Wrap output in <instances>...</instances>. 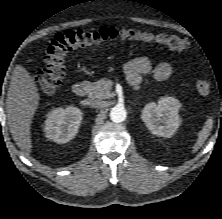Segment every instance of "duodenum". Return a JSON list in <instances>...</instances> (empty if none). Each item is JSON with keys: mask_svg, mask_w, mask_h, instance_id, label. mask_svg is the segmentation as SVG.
I'll use <instances>...</instances> for the list:
<instances>
[{"mask_svg": "<svg viewBox=\"0 0 222 219\" xmlns=\"http://www.w3.org/2000/svg\"><path fill=\"white\" fill-rule=\"evenodd\" d=\"M88 86L85 83L78 82L73 86V92L76 96L83 97L88 94Z\"/></svg>", "mask_w": 222, "mask_h": 219, "instance_id": "410a0bca", "label": "duodenum"}]
</instances>
